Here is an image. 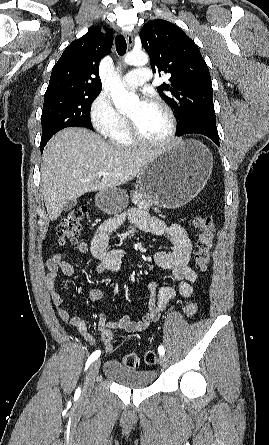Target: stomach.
Masks as SVG:
<instances>
[{
    "label": "stomach",
    "instance_id": "0dacf381",
    "mask_svg": "<svg viewBox=\"0 0 269 445\" xmlns=\"http://www.w3.org/2000/svg\"><path fill=\"white\" fill-rule=\"evenodd\" d=\"M213 167L211 152L196 140H178L161 150L140 172V192L162 208L189 203L204 188ZM100 210L118 215L128 206L126 192L108 188L95 196Z\"/></svg>",
    "mask_w": 269,
    "mask_h": 445
}]
</instances>
